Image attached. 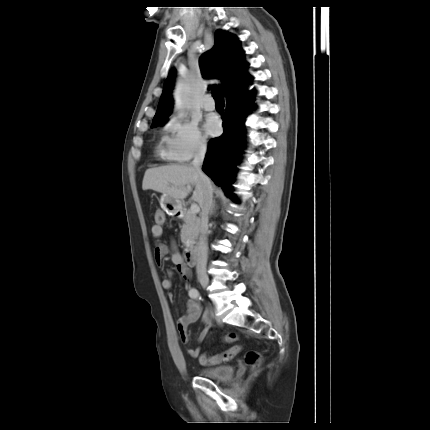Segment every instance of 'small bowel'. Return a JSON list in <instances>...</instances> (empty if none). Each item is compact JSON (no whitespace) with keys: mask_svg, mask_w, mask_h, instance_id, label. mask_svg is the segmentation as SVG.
Masks as SVG:
<instances>
[{"mask_svg":"<svg viewBox=\"0 0 430 430\" xmlns=\"http://www.w3.org/2000/svg\"><path fill=\"white\" fill-rule=\"evenodd\" d=\"M151 233L153 237L160 238L162 236L163 230L160 225H153L151 228ZM170 252L171 255V261L176 266L177 271L181 274V276L185 280H189L192 277L191 270L185 265L183 261V257L181 253L177 250L174 243L171 244V249L163 243H159L155 247L154 251V257L155 261L158 265L162 264V261L164 257ZM169 278H164L161 281V286L165 290H169L172 287V280L171 276L173 275V272L171 270L168 271ZM169 299H172L173 295L171 293L168 294ZM187 313L183 316H181L177 321V329L180 334V338L184 343H188L190 341V336L188 334V327L189 325L195 323L202 313V307L201 304L196 301L195 299L191 298L186 303ZM211 327V323L209 321V318L207 314L205 313L203 315V328L198 335L197 341L200 343L202 342L205 337L207 336L209 330ZM200 354V348H194L188 350V356L190 358H197Z\"/></svg>","mask_w":430,"mask_h":430,"instance_id":"1","label":"small bowel"}]
</instances>
